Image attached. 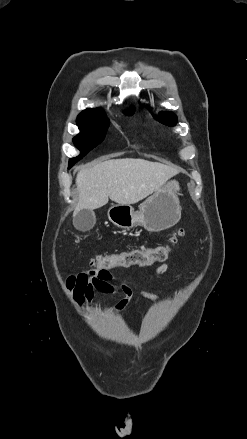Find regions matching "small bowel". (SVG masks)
<instances>
[{
  "label": "small bowel",
  "mask_w": 247,
  "mask_h": 439,
  "mask_svg": "<svg viewBox=\"0 0 247 439\" xmlns=\"http://www.w3.org/2000/svg\"><path fill=\"white\" fill-rule=\"evenodd\" d=\"M168 269L167 264H162L156 268L154 273L150 275V279L164 274ZM113 274L109 270H86L78 273L77 275L70 276L67 279V289L72 295L74 302L79 308H83L85 305L90 306V301L93 298L94 291H100L104 294H114L118 289H121L124 298H122L114 307V312L123 310L129 303L134 293V284L130 281H123L117 287L112 284L114 280ZM141 294L150 299L158 300L159 295L152 291H141Z\"/></svg>",
  "instance_id": "c3829d8e"
}]
</instances>
